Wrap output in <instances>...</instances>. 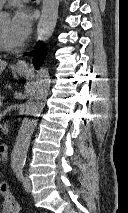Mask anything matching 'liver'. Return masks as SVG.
I'll use <instances>...</instances> for the list:
<instances>
[{
	"label": "liver",
	"instance_id": "liver-1",
	"mask_svg": "<svg viewBox=\"0 0 128 213\" xmlns=\"http://www.w3.org/2000/svg\"><path fill=\"white\" fill-rule=\"evenodd\" d=\"M6 66H7V62L3 61V60H0V74L6 68Z\"/></svg>",
	"mask_w": 128,
	"mask_h": 213
}]
</instances>
